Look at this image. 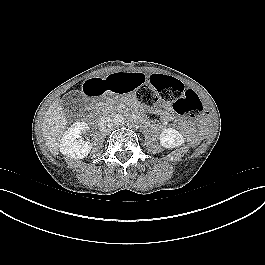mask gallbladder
<instances>
[{
	"label": "gallbladder",
	"instance_id": "gallbladder-1",
	"mask_svg": "<svg viewBox=\"0 0 265 265\" xmlns=\"http://www.w3.org/2000/svg\"><path fill=\"white\" fill-rule=\"evenodd\" d=\"M61 104L68 117L80 114L85 107L82 96L77 91L65 94L61 100Z\"/></svg>",
	"mask_w": 265,
	"mask_h": 265
}]
</instances>
